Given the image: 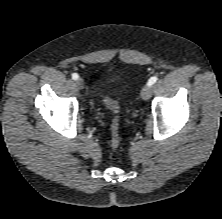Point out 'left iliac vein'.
<instances>
[{
  "label": "left iliac vein",
  "instance_id": "left-iliac-vein-1",
  "mask_svg": "<svg viewBox=\"0 0 222 219\" xmlns=\"http://www.w3.org/2000/svg\"><path fill=\"white\" fill-rule=\"evenodd\" d=\"M152 94V87L149 85H146L141 90V98L144 100H148L151 97Z\"/></svg>",
  "mask_w": 222,
  "mask_h": 219
}]
</instances>
